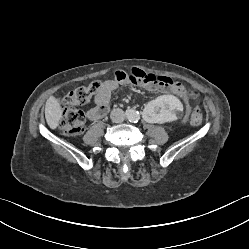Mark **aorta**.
Instances as JSON below:
<instances>
[{"instance_id": "762f6f07", "label": "aorta", "mask_w": 249, "mask_h": 249, "mask_svg": "<svg viewBox=\"0 0 249 249\" xmlns=\"http://www.w3.org/2000/svg\"><path fill=\"white\" fill-rule=\"evenodd\" d=\"M126 117L130 122H138L140 119V113L136 110H128L126 113Z\"/></svg>"}]
</instances>
